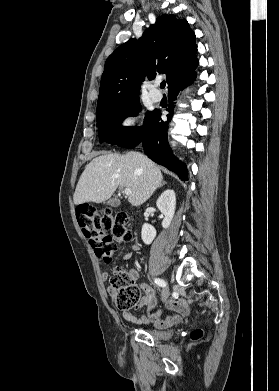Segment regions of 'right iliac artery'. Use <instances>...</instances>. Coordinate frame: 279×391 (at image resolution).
Segmentation results:
<instances>
[{
	"label": "right iliac artery",
	"mask_w": 279,
	"mask_h": 391,
	"mask_svg": "<svg viewBox=\"0 0 279 391\" xmlns=\"http://www.w3.org/2000/svg\"><path fill=\"white\" fill-rule=\"evenodd\" d=\"M154 281L160 287H165L166 286V283L162 279L156 278Z\"/></svg>",
	"instance_id": "82829eb1"
}]
</instances>
